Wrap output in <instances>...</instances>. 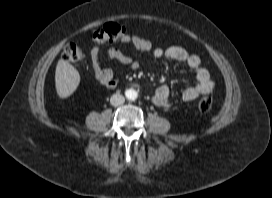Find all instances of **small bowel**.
Masks as SVG:
<instances>
[{
  "instance_id": "small-bowel-1",
  "label": "small bowel",
  "mask_w": 272,
  "mask_h": 198,
  "mask_svg": "<svg viewBox=\"0 0 272 198\" xmlns=\"http://www.w3.org/2000/svg\"><path fill=\"white\" fill-rule=\"evenodd\" d=\"M121 43L132 48L134 54L125 53L119 48H110L105 54H101L98 46L91 50V64L93 73L98 83L107 88L113 89L118 84L116 71L110 68H104L105 60L114 59L120 64L131 70H137L141 67V62L137 58L138 55L151 53L155 59H169L180 62L190 68L195 77V84L187 87L181 94V100L191 102L202 95L208 94L214 87V82L206 68L201 64L200 58L187 52L179 46H169L167 48H152L148 40L140 38L136 35L124 36L120 39ZM171 91L167 85L158 87L152 97V102L160 108H169Z\"/></svg>"
}]
</instances>
